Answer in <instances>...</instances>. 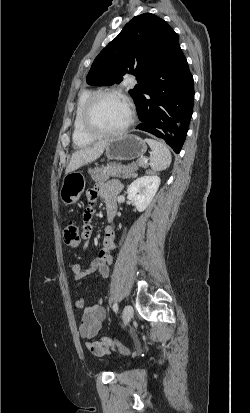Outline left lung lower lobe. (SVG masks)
I'll return each instance as SVG.
<instances>
[{"label":"left lung lower lobe","mask_w":250,"mask_h":413,"mask_svg":"<svg viewBox=\"0 0 250 413\" xmlns=\"http://www.w3.org/2000/svg\"><path fill=\"white\" fill-rule=\"evenodd\" d=\"M173 37L164 48L162 69L141 87L135 99L141 123L136 129L164 139L179 153L193 113V76L178 43Z\"/></svg>","instance_id":"1"}]
</instances>
